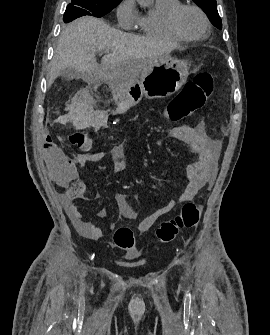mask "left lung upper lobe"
Segmentation results:
<instances>
[{
  "label": "left lung upper lobe",
  "mask_w": 270,
  "mask_h": 335,
  "mask_svg": "<svg viewBox=\"0 0 270 335\" xmlns=\"http://www.w3.org/2000/svg\"><path fill=\"white\" fill-rule=\"evenodd\" d=\"M208 16L210 22L222 29V21L217 11L216 0H193Z\"/></svg>",
  "instance_id": "5c2ea615"
}]
</instances>
